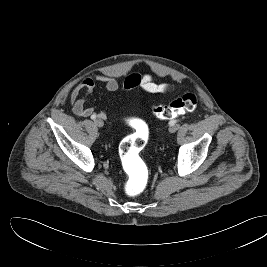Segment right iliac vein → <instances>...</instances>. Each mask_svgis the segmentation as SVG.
I'll use <instances>...</instances> for the list:
<instances>
[{
	"instance_id": "63e3f726",
	"label": "right iliac vein",
	"mask_w": 267,
	"mask_h": 267,
	"mask_svg": "<svg viewBox=\"0 0 267 267\" xmlns=\"http://www.w3.org/2000/svg\"><path fill=\"white\" fill-rule=\"evenodd\" d=\"M95 125L99 128L103 127L104 126V122L102 119L98 118L94 121Z\"/></svg>"
}]
</instances>
